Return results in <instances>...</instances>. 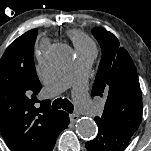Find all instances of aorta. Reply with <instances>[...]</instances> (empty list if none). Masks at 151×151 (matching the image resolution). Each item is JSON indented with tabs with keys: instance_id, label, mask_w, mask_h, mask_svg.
I'll return each instance as SVG.
<instances>
[{
	"instance_id": "obj_1",
	"label": "aorta",
	"mask_w": 151,
	"mask_h": 151,
	"mask_svg": "<svg viewBox=\"0 0 151 151\" xmlns=\"http://www.w3.org/2000/svg\"><path fill=\"white\" fill-rule=\"evenodd\" d=\"M46 58L51 65L63 67L73 60V52L67 45H56L46 53ZM76 129L83 139H91L97 134V125L90 118H83L77 122Z\"/></svg>"
}]
</instances>
